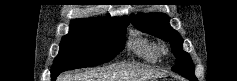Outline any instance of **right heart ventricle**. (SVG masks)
Masks as SVG:
<instances>
[{"label": "right heart ventricle", "instance_id": "e07e8e85", "mask_svg": "<svg viewBox=\"0 0 237 81\" xmlns=\"http://www.w3.org/2000/svg\"><path fill=\"white\" fill-rule=\"evenodd\" d=\"M129 48L148 63L154 64L158 61L159 53L156 44L145 38L137 37V34H134Z\"/></svg>", "mask_w": 237, "mask_h": 81}]
</instances>
